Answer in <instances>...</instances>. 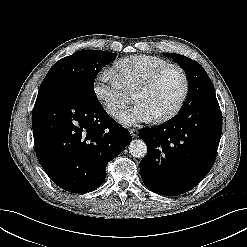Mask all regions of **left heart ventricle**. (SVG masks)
<instances>
[{"mask_svg":"<svg viewBox=\"0 0 247 247\" xmlns=\"http://www.w3.org/2000/svg\"><path fill=\"white\" fill-rule=\"evenodd\" d=\"M183 87L181 73L177 69H169L162 73L148 89L138 93L135 101L143 104L154 117H157L169 111L177 103Z\"/></svg>","mask_w":247,"mask_h":247,"instance_id":"1","label":"left heart ventricle"}]
</instances>
